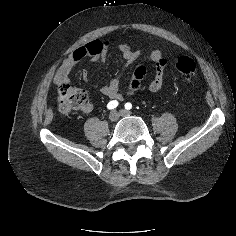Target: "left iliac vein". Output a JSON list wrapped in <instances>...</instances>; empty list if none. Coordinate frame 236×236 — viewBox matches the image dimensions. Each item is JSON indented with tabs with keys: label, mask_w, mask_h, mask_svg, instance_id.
<instances>
[{
	"label": "left iliac vein",
	"mask_w": 236,
	"mask_h": 236,
	"mask_svg": "<svg viewBox=\"0 0 236 236\" xmlns=\"http://www.w3.org/2000/svg\"><path fill=\"white\" fill-rule=\"evenodd\" d=\"M120 115L121 116H130L131 112L128 110H120Z\"/></svg>",
	"instance_id": "left-iliac-vein-1"
}]
</instances>
